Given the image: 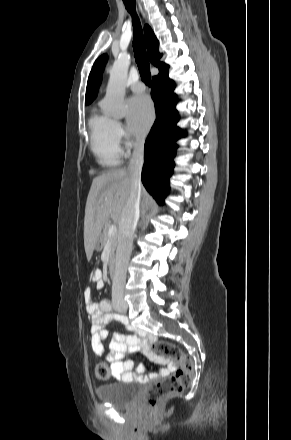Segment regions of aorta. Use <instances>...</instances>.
<instances>
[{
    "instance_id": "1",
    "label": "aorta",
    "mask_w": 291,
    "mask_h": 440,
    "mask_svg": "<svg viewBox=\"0 0 291 440\" xmlns=\"http://www.w3.org/2000/svg\"><path fill=\"white\" fill-rule=\"evenodd\" d=\"M129 66V54L120 53L110 71L103 111L113 118H123L127 112L124 97Z\"/></svg>"
}]
</instances>
